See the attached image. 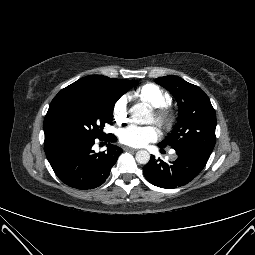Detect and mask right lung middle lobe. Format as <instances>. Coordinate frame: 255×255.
<instances>
[{
	"label": "right lung middle lobe",
	"mask_w": 255,
	"mask_h": 255,
	"mask_svg": "<svg viewBox=\"0 0 255 255\" xmlns=\"http://www.w3.org/2000/svg\"><path fill=\"white\" fill-rule=\"evenodd\" d=\"M136 82L120 79L106 91L83 93L68 99L53 118V132L57 137H104L102 130L106 124H112L115 102Z\"/></svg>",
	"instance_id": "1"
}]
</instances>
